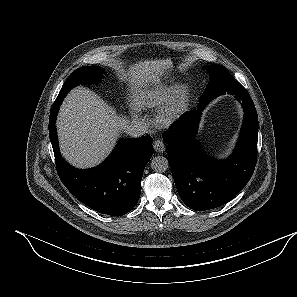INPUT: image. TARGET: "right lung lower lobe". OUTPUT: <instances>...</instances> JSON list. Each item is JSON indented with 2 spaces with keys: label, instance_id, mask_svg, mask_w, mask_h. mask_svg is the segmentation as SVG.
Masks as SVG:
<instances>
[{
  "label": "right lung lower lobe",
  "instance_id": "right-lung-lower-lobe-1",
  "mask_svg": "<svg viewBox=\"0 0 297 297\" xmlns=\"http://www.w3.org/2000/svg\"><path fill=\"white\" fill-rule=\"evenodd\" d=\"M65 96L58 94L49 118V137L62 183L81 202L99 213L112 216L128 213L138 202L143 171L153 155L151 138L122 139L99 166L85 170L71 167L60 155L55 126Z\"/></svg>",
  "mask_w": 297,
  "mask_h": 297
}]
</instances>
